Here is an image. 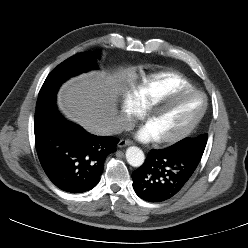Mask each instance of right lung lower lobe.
<instances>
[{"instance_id": "obj_1", "label": "right lung lower lobe", "mask_w": 248, "mask_h": 248, "mask_svg": "<svg viewBox=\"0 0 248 248\" xmlns=\"http://www.w3.org/2000/svg\"><path fill=\"white\" fill-rule=\"evenodd\" d=\"M55 101L56 94L38 96L34 133L39 161L61 190L89 191L98 184L104 161L116 150L119 139L92 135L67 121Z\"/></svg>"}]
</instances>
